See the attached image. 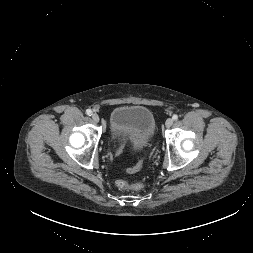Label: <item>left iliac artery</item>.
<instances>
[{"label": "left iliac artery", "mask_w": 253, "mask_h": 253, "mask_svg": "<svg viewBox=\"0 0 253 253\" xmlns=\"http://www.w3.org/2000/svg\"><path fill=\"white\" fill-rule=\"evenodd\" d=\"M172 119H173V121H176L178 119V115H176V114L173 115Z\"/></svg>", "instance_id": "left-iliac-artery-1"}]
</instances>
